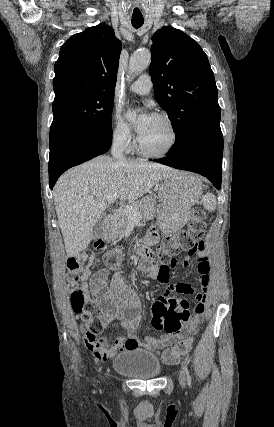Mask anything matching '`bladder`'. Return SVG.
<instances>
[{
  "instance_id": "31cf9c89",
  "label": "bladder",
  "mask_w": 274,
  "mask_h": 427,
  "mask_svg": "<svg viewBox=\"0 0 274 427\" xmlns=\"http://www.w3.org/2000/svg\"><path fill=\"white\" fill-rule=\"evenodd\" d=\"M113 368L116 374L137 380L158 378L163 371L159 358L143 349H127L117 354L113 359Z\"/></svg>"
}]
</instances>
